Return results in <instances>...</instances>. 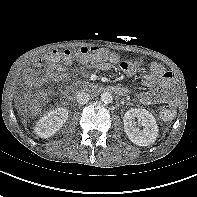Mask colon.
Returning <instances> with one entry per match:
<instances>
[{
    "label": "colon",
    "instance_id": "1",
    "mask_svg": "<svg viewBox=\"0 0 197 197\" xmlns=\"http://www.w3.org/2000/svg\"><path fill=\"white\" fill-rule=\"evenodd\" d=\"M77 59L82 62L103 63L107 61H115L116 56L109 53L103 48L80 47L74 50L64 49L63 51H53L48 55L50 62H71ZM128 61H122L121 67H128ZM160 117L164 121H169L174 117V110L170 106H164L160 110Z\"/></svg>",
    "mask_w": 197,
    "mask_h": 197
}]
</instances>
